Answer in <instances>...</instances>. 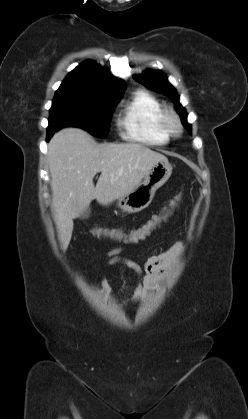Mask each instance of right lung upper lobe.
Wrapping results in <instances>:
<instances>
[{
	"label": "right lung upper lobe",
	"mask_w": 248,
	"mask_h": 419,
	"mask_svg": "<svg viewBox=\"0 0 248 419\" xmlns=\"http://www.w3.org/2000/svg\"><path fill=\"white\" fill-rule=\"evenodd\" d=\"M126 83L96 62L87 60L71 71L57 91L101 98L121 97Z\"/></svg>",
	"instance_id": "right-lung-upper-lobe-1"
}]
</instances>
